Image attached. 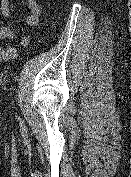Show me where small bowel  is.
Masks as SVG:
<instances>
[{
	"label": "small bowel",
	"instance_id": "c3829d8e",
	"mask_svg": "<svg viewBox=\"0 0 131 177\" xmlns=\"http://www.w3.org/2000/svg\"><path fill=\"white\" fill-rule=\"evenodd\" d=\"M27 6L30 10L26 18V22L29 26H36L39 22L41 15V7L37 0H27ZM10 1L0 0V12L3 17H8L10 15ZM16 38V32L13 28L8 26L0 27V41L2 40H13ZM27 39L24 38L23 41ZM17 57V51L15 48L10 46H5L0 48V62L3 60H11Z\"/></svg>",
	"mask_w": 131,
	"mask_h": 177
}]
</instances>
